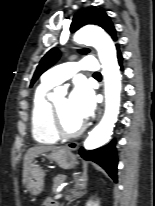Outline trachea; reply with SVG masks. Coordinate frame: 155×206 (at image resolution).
Masks as SVG:
<instances>
[{"mask_svg": "<svg viewBox=\"0 0 155 206\" xmlns=\"http://www.w3.org/2000/svg\"><path fill=\"white\" fill-rule=\"evenodd\" d=\"M101 74L99 72H95L94 76H100Z\"/></svg>", "mask_w": 155, "mask_h": 206, "instance_id": "3493384b", "label": "trachea"}]
</instances>
